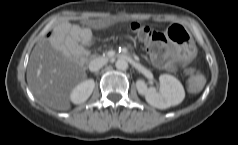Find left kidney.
Segmentation results:
<instances>
[{"label":"left kidney","instance_id":"obj_1","mask_svg":"<svg viewBox=\"0 0 238 145\" xmlns=\"http://www.w3.org/2000/svg\"><path fill=\"white\" fill-rule=\"evenodd\" d=\"M159 81L161 84L160 92H157L153 87L148 88L142 79L136 81L138 93L144 96L151 106L166 109L183 101L185 91L178 79L169 74H162L159 76Z\"/></svg>","mask_w":238,"mask_h":145}]
</instances>
